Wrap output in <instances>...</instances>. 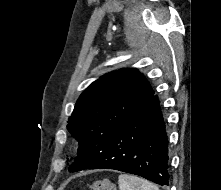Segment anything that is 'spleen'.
<instances>
[{
    "instance_id": "1",
    "label": "spleen",
    "mask_w": 221,
    "mask_h": 190,
    "mask_svg": "<svg viewBox=\"0 0 221 190\" xmlns=\"http://www.w3.org/2000/svg\"><path fill=\"white\" fill-rule=\"evenodd\" d=\"M120 190H159V188L142 178L133 175L121 174L118 179Z\"/></svg>"
}]
</instances>
